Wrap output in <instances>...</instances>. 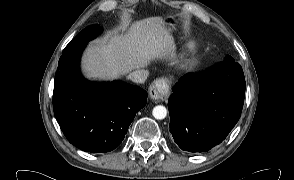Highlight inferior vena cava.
<instances>
[{
    "label": "inferior vena cava",
    "mask_w": 294,
    "mask_h": 180,
    "mask_svg": "<svg viewBox=\"0 0 294 180\" xmlns=\"http://www.w3.org/2000/svg\"><path fill=\"white\" fill-rule=\"evenodd\" d=\"M149 75V72L145 69H138L131 72L128 78L135 83H144Z\"/></svg>",
    "instance_id": "obj_1"
}]
</instances>
